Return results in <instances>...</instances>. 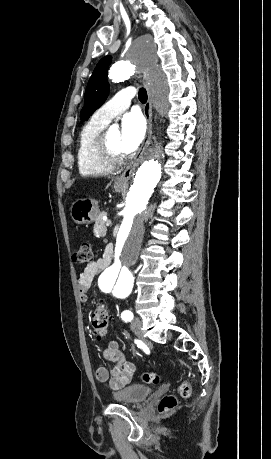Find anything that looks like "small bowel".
<instances>
[{
    "instance_id": "obj_1",
    "label": "small bowel",
    "mask_w": 271,
    "mask_h": 459,
    "mask_svg": "<svg viewBox=\"0 0 271 459\" xmlns=\"http://www.w3.org/2000/svg\"><path fill=\"white\" fill-rule=\"evenodd\" d=\"M110 263V258L104 254L97 261L90 262L86 265L78 278L79 298L82 303L88 301L89 290L94 278L103 271ZM106 360L115 364L114 368L109 371L105 367L96 369V379L99 382H108L113 389H119L129 384L135 371L134 365L129 362L123 352L120 351L117 342L110 341L103 352Z\"/></svg>"
}]
</instances>
